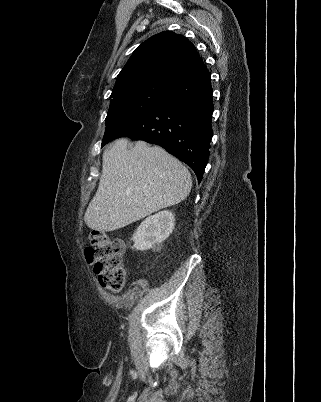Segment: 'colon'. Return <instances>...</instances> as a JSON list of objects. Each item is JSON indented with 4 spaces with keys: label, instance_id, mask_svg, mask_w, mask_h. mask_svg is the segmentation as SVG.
Returning a JSON list of instances; mask_svg holds the SVG:
<instances>
[{
    "label": "colon",
    "instance_id": "5ec220e1",
    "mask_svg": "<svg viewBox=\"0 0 321 402\" xmlns=\"http://www.w3.org/2000/svg\"><path fill=\"white\" fill-rule=\"evenodd\" d=\"M123 251L124 244L119 238L99 230L91 232L85 257L93 264L99 284L104 289L120 291L123 288L127 276Z\"/></svg>",
    "mask_w": 321,
    "mask_h": 402
}]
</instances>
